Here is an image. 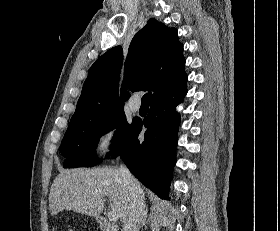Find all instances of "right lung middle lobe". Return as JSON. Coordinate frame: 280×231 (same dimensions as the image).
<instances>
[{
  "instance_id": "obj_1",
  "label": "right lung middle lobe",
  "mask_w": 280,
  "mask_h": 231,
  "mask_svg": "<svg viewBox=\"0 0 280 231\" xmlns=\"http://www.w3.org/2000/svg\"><path fill=\"white\" fill-rule=\"evenodd\" d=\"M130 127L124 111L101 119L71 122L61 142V154L66 158L64 167H91L96 165L98 159L94 150L99 138L115 128L118 131L112 139L113 149L110 154H116Z\"/></svg>"
}]
</instances>
